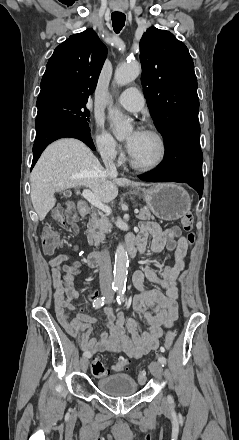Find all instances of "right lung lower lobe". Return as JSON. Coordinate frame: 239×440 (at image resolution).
Masks as SVG:
<instances>
[{
	"label": "right lung lower lobe",
	"instance_id": "98d812e1",
	"mask_svg": "<svg viewBox=\"0 0 239 440\" xmlns=\"http://www.w3.org/2000/svg\"><path fill=\"white\" fill-rule=\"evenodd\" d=\"M64 137L77 138L83 141L92 150H95L90 135V129H86L67 121L56 119L45 120L36 124V139L33 146V161L31 169L48 144Z\"/></svg>",
	"mask_w": 239,
	"mask_h": 440
}]
</instances>
